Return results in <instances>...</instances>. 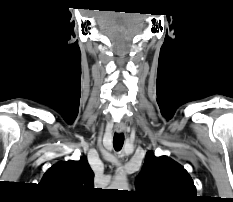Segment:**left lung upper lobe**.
<instances>
[{
  "label": "left lung upper lobe",
  "mask_w": 233,
  "mask_h": 202,
  "mask_svg": "<svg viewBox=\"0 0 233 202\" xmlns=\"http://www.w3.org/2000/svg\"><path fill=\"white\" fill-rule=\"evenodd\" d=\"M137 193L144 202H196V187L187 171L167 156L146 154L136 180Z\"/></svg>",
  "instance_id": "5c2ea615"
}]
</instances>
